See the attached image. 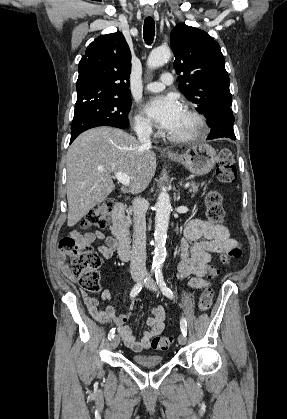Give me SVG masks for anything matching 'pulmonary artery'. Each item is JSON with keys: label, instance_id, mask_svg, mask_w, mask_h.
I'll use <instances>...</instances> for the list:
<instances>
[{"label": "pulmonary artery", "instance_id": "obj_1", "mask_svg": "<svg viewBox=\"0 0 287 419\" xmlns=\"http://www.w3.org/2000/svg\"><path fill=\"white\" fill-rule=\"evenodd\" d=\"M173 75L171 73H163L161 76V81L151 82L146 85V90L150 92H158L163 90L166 86L173 83Z\"/></svg>", "mask_w": 287, "mask_h": 419}]
</instances>
